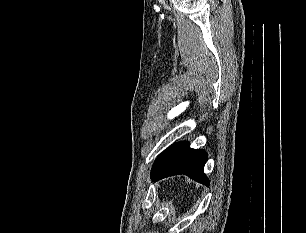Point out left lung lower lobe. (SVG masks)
Instances as JSON below:
<instances>
[{
    "instance_id": "obj_1",
    "label": "left lung lower lobe",
    "mask_w": 306,
    "mask_h": 233,
    "mask_svg": "<svg viewBox=\"0 0 306 233\" xmlns=\"http://www.w3.org/2000/svg\"><path fill=\"white\" fill-rule=\"evenodd\" d=\"M206 160L207 153L204 150L192 149L185 141L178 142L156 159L151 170V178L159 180L168 176L185 174L208 186L209 180L204 174Z\"/></svg>"
}]
</instances>
